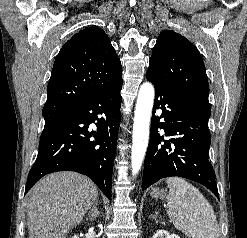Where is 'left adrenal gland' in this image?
<instances>
[{"mask_svg":"<svg viewBox=\"0 0 247 238\" xmlns=\"http://www.w3.org/2000/svg\"><path fill=\"white\" fill-rule=\"evenodd\" d=\"M157 214H158V213L155 212V215H153V216L151 215V216H150V219H154V221H155L156 223H158Z\"/></svg>","mask_w":247,"mask_h":238,"instance_id":"a2214340","label":"left adrenal gland"}]
</instances>
